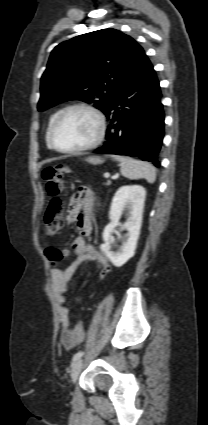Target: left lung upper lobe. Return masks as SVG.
<instances>
[{"instance_id": "1", "label": "left lung upper lobe", "mask_w": 208, "mask_h": 425, "mask_svg": "<svg viewBox=\"0 0 208 425\" xmlns=\"http://www.w3.org/2000/svg\"><path fill=\"white\" fill-rule=\"evenodd\" d=\"M146 57L132 37L115 29L64 41L52 50L42 75L38 110L79 99L104 112Z\"/></svg>"}]
</instances>
